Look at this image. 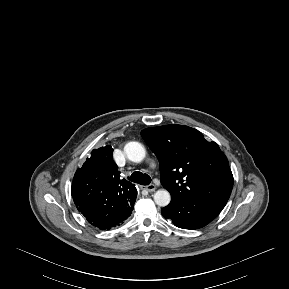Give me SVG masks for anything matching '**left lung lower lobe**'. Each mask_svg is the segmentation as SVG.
Here are the masks:
<instances>
[{"label":"left lung lower lobe","instance_id":"0a47b994","mask_svg":"<svg viewBox=\"0 0 289 289\" xmlns=\"http://www.w3.org/2000/svg\"><path fill=\"white\" fill-rule=\"evenodd\" d=\"M219 212L199 201L175 197H171L170 204L161 210L162 215L171 219L175 226L191 230L206 226Z\"/></svg>","mask_w":289,"mask_h":289}]
</instances>
